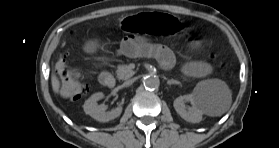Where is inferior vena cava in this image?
Listing matches in <instances>:
<instances>
[{
    "label": "inferior vena cava",
    "instance_id": "obj_1",
    "mask_svg": "<svg viewBox=\"0 0 279 148\" xmlns=\"http://www.w3.org/2000/svg\"><path fill=\"white\" fill-rule=\"evenodd\" d=\"M134 82V79H130L124 83L125 86H129Z\"/></svg>",
    "mask_w": 279,
    "mask_h": 148
}]
</instances>
